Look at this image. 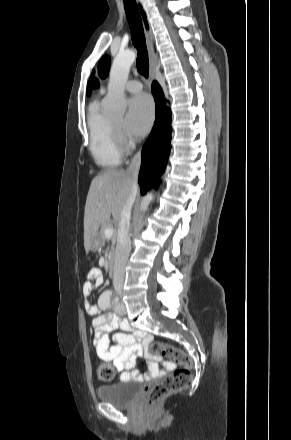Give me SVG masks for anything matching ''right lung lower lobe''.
Instances as JSON below:
<instances>
[{
	"mask_svg": "<svg viewBox=\"0 0 291 440\" xmlns=\"http://www.w3.org/2000/svg\"><path fill=\"white\" fill-rule=\"evenodd\" d=\"M152 92L156 102V119L141 153L139 185L142 194L159 184V176L167 165L171 148V111L166 107L163 91L156 81L152 83Z\"/></svg>",
	"mask_w": 291,
	"mask_h": 440,
	"instance_id": "obj_1",
	"label": "right lung lower lobe"
}]
</instances>
